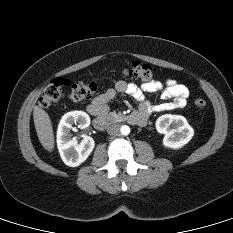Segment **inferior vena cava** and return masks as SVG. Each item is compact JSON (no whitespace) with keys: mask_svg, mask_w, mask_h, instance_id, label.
<instances>
[{"mask_svg":"<svg viewBox=\"0 0 233 233\" xmlns=\"http://www.w3.org/2000/svg\"><path fill=\"white\" fill-rule=\"evenodd\" d=\"M119 125L117 124H112L107 128V133L110 135H117L119 133Z\"/></svg>","mask_w":233,"mask_h":233,"instance_id":"602c4592","label":"inferior vena cava"}]
</instances>
